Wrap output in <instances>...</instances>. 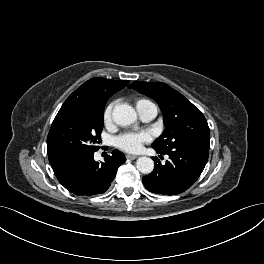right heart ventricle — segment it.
Wrapping results in <instances>:
<instances>
[{"label": "right heart ventricle", "mask_w": 264, "mask_h": 264, "mask_svg": "<svg viewBox=\"0 0 264 264\" xmlns=\"http://www.w3.org/2000/svg\"><path fill=\"white\" fill-rule=\"evenodd\" d=\"M137 110L141 109L142 107L152 104L151 101L145 99V98H138L135 102Z\"/></svg>", "instance_id": "1"}]
</instances>
